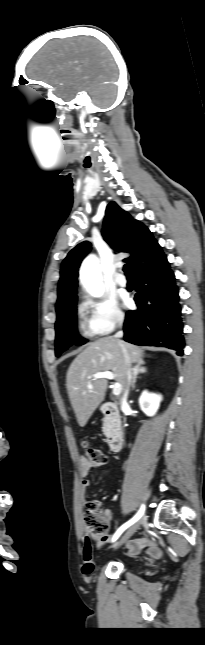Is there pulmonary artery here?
<instances>
[{
  "label": "pulmonary artery",
  "mask_w": 205,
  "mask_h": 645,
  "mask_svg": "<svg viewBox=\"0 0 205 645\" xmlns=\"http://www.w3.org/2000/svg\"><path fill=\"white\" fill-rule=\"evenodd\" d=\"M115 282L121 287L127 286V279L122 273H117L115 275Z\"/></svg>",
  "instance_id": "e3ab8cb5"
}]
</instances>
